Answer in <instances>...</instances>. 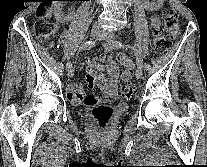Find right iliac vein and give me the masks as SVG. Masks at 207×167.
<instances>
[{"instance_id":"1","label":"right iliac vein","mask_w":207,"mask_h":167,"mask_svg":"<svg viewBox=\"0 0 207 167\" xmlns=\"http://www.w3.org/2000/svg\"><path fill=\"white\" fill-rule=\"evenodd\" d=\"M102 35V31L98 27H93L90 32V36L92 38H100ZM74 74V67L71 66L68 68V77L71 78Z\"/></svg>"}]
</instances>
